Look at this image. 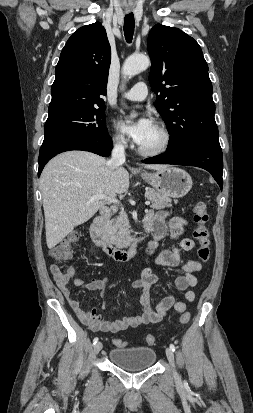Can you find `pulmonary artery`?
<instances>
[{"label": "pulmonary artery", "instance_id": "1", "mask_svg": "<svg viewBox=\"0 0 253 413\" xmlns=\"http://www.w3.org/2000/svg\"><path fill=\"white\" fill-rule=\"evenodd\" d=\"M148 95V88L144 82L136 83L129 91L124 93V98L130 101H142Z\"/></svg>", "mask_w": 253, "mask_h": 413}]
</instances>
